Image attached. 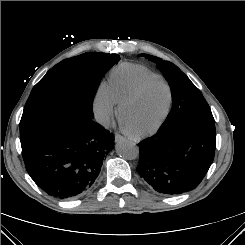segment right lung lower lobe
<instances>
[{"label": "right lung lower lobe", "instance_id": "98d812e1", "mask_svg": "<svg viewBox=\"0 0 245 245\" xmlns=\"http://www.w3.org/2000/svg\"><path fill=\"white\" fill-rule=\"evenodd\" d=\"M21 146L33 181L53 197L72 199L92 187L114 137L91 119L59 124Z\"/></svg>", "mask_w": 245, "mask_h": 245}]
</instances>
